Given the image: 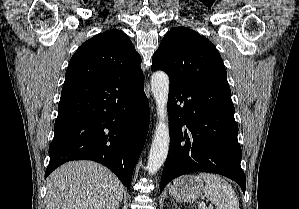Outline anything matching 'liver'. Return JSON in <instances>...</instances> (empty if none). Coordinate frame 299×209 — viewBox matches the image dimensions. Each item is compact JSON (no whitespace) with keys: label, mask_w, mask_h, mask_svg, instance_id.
Instances as JSON below:
<instances>
[{"label":"liver","mask_w":299,"mask_h":209,"mask_svg":"<svg viewBox=\"0 0 299 209\" xmlns=\"http://www.w3.org/2000/svg\"><path fill=\"white\" fill-rule=\"evenodd\" d=\"M123 191L106 167L86 160L68 162L47 179L46 209H117Z\"/></svg>","instance_id":"6515ba94"}]
</instances>
